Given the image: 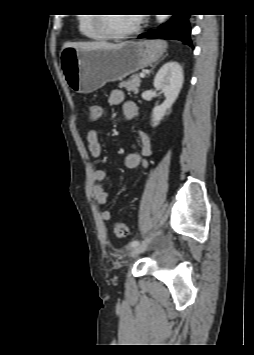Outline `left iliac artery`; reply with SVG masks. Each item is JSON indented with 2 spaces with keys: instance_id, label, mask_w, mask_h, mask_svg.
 <instances>
[{
  "instance_id": "obj_1",
  "label": "left iliac artery",
  "mask_w": 254,
  "mask_h": 355,
  "mask_svg": "<svg viewBox=\"0 0 254 355\" xmlns=\"http://www.w3.org/2000/svg\"><path fill=\"white\" fill-rule=\"evenodd\" d=\"M139 244H140V242L138 240H134V241L130 242L129 245H130V247H136Z\"/></svg>"
}]
</instances>
